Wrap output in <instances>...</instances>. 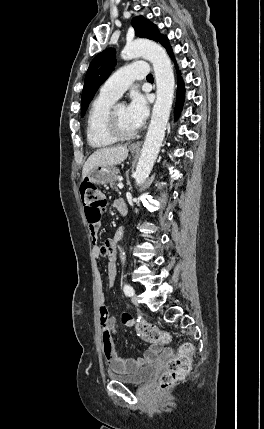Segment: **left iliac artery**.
Returning a JSON list of instances; mask_svg holds the SVG:
<instances>
[{"instance_id":"left-iliac-artery-1","label":"left iliac artery","mask_w":264,"mask_h":429,"mask_svg":"<svg viewBox=\"0 0 264 429\" xmlns=\"http://www.w3.org/2000/svg\"><path fill=\"white\" fill-rule=\"evenodd\" d=\"M123 291L127 296H132L134 294V289L129 284L124 285Z\"/></svg>"}]
</instances>
